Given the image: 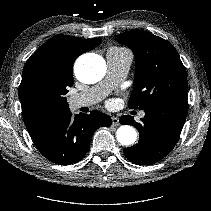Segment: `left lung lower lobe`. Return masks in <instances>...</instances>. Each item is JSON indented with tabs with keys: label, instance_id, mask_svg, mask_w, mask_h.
Instances as JSON below:
<instances>
[{
	"label": "left lung lower lobe",
	"instance_id": "1",
	"mask_svg": "<svg viewBox=\"0 0 211 211\" xmlns=\"http://www.w3.org/2000/svg\"><path fill=\"white\" fill-rule=\"evenodd\" d=\"M142 123L130 115L120 118L121 124L134 125L139 131L138 144L124 149L129 161L137 165H151L175 147L186 120L187 101L166 100L149 105Z\"/></svg>",
	"mask_w": 211,
	"mask_h": 211
}]
</instances>
